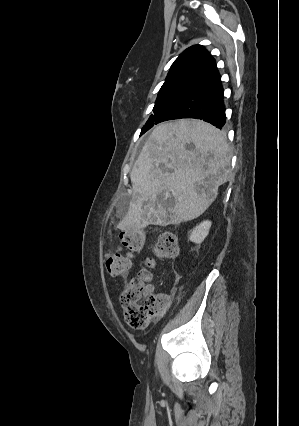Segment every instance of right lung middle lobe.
<instances>
[{
  "label": "right lung middle lobe",
  "instance_id": "1",
  "mask_svg": "<svg viewBox=\"0 0 299 426\" xmlns=\"http://www.w3.org/2000/svg\"><path fill=\"white\" fill-rule=\"evenodd\" d=\"M194 88L196 87L188 84L163 85L158 93L157 100L153 108L154 114L150 116L145 126L142 128L141 134L153 127L154 124H157L163 113L170 106Z\"/></svg>",
  "mask_w": 299,
  "mask_h": 426
}]
</instances>
